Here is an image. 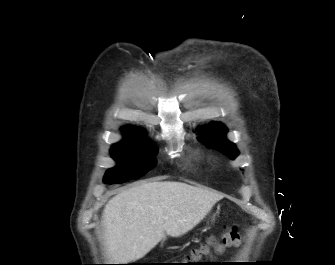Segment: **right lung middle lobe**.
<instances>
[{
    "label": "right lung middle lobe",
    "instance_id": "obj_1",
    "mask_svg": "<svg viewBox=\"0 0 335 265\" xmlns=\"http://www.w3.org/2000/svg\"><path fill=\"white\" fill-rule=\"evenodd\" d=\"M124 132L125 140L111 148V156L118 166L106 172L105 183H124L138 179L156 165V148L139 131Z\"/></svg>",
    "mask_w": 335,
    "mask_h": 265
}]
</instances>
